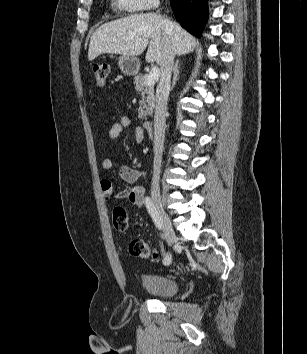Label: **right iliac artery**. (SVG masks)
<instances>
[{
  "instance_id": "right-iliac-artery-1",
  "label": "right iliac artery",
  "mask_w": 307,
  "mask_h": 354,
  "mask_svg": "<svg viewBox=\"0 0 307 354\" xmlns=\"http://www.w3.org/2000/svg\"><path fill=\"white\" fill-rule=\"evenodd\" d=\"M145 206L148 210V213L150 214V216L152 217L156 227L158 229H162V222H161V218L159 215V212L157 210V208L155 207L153 201L151 200L150 197H145ZM171 255L169 253H167L163 259V264L164 265H169L171 263Z\"/></svg>"
}]
</instances>
